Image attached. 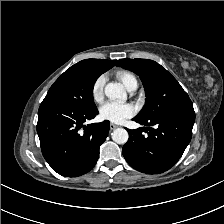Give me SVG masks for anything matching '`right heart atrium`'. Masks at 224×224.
<instances>
[{"mask_svg":"<svg viewBox=\"0 0 224 224\" xmlns=\"http://www.w3.org/2000/svg\"><path fill=\"white\" fill-rule=\"evenodd\" d=\"M105 81H106L105 75H100L93 82L91 93H92V98L97 103L103 100V90H104Z\"/></svg>","mask_w":224,"mask_h":224,"instance_id":"right-heart-atrium-1","label":"right heart atrium"}]
</instances>
